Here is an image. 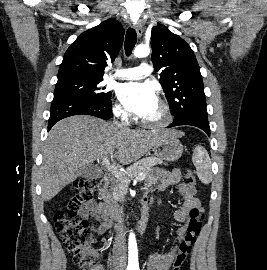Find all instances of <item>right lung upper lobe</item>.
Instances as JSON below:
<instances>
[{"instance_id": "right-lung-upper-lobe-1", "label": "right lung upper lobe", "mask_w": 267, "mask_h": 270, "mask_svg": "<svg viewBox=\"0 0 267 270\" xmlns=\"http://www.w3.org/2000/svg\"><path fill=\"white\" fill-rule=\"evenodd\" d=\"M124 29L115 20H106L82 34L64 54L58 77L103 78L107 63L113 62L123 43Z\"/></svg>"}]
</instances>
